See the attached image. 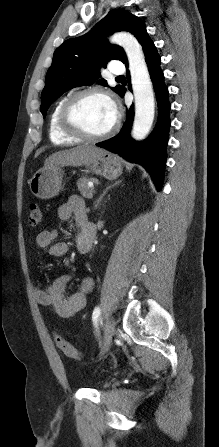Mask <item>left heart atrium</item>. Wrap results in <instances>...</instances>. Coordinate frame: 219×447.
I'll use <instances>...</instances> for the list:
<instances>
[{
    "label": "left heart atrium",
    "mask_w": 219,
    "mask_h": 447,
    "mask_svg": "<svg viewBox=\"0 0 219 447\" xmlns=\"http://www.w3.org/2000/svg\"><path fill=\"white\" fill-rule=\"evenodd\" d=\"M111 105H112V109H113L114 115L116 116L117 115L116 106L113 103H111Z\"/></svg>",
    "instance_id": "39dd6f15"
}]
</instances>
